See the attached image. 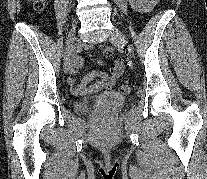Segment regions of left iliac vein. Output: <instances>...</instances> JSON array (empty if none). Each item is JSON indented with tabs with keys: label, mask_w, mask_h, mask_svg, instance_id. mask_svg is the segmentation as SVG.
I'll use <instances>...</instances> for the list:
<instances>
[{
	"label": "left iliac vein",
	"mask_w": 207,
	"mask_h": 179,
	"mask_svg": "<svg viewBox=\"0 0 207 179\" xmlns=\"http://www.w3.org/2000/svg\"><path fill=\"white\" fill-rule=\"evenodd\" d=\"M109 41L112 44L121 46L122 49H126L128 52L127 57L130 60L134 59V56L131 54L133 46L130 45V42L127 41V37L119 29L115 28V26H112Z\"/></svg>",
	"instance_id": "obj_1"
}]
</instances>
